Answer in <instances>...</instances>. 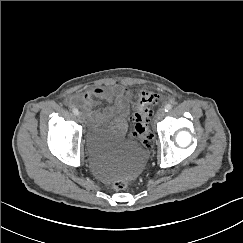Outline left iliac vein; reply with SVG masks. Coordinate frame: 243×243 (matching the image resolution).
<instances>
[{
    "label": "left iliac vein",
    "mask_w": 243,
    "mask_h": 243,
    "mask_svg": "<svg viewBox=\"0 0 243 243\" xmlns=\"http://www.w3.org/2000/svg\"><path fill=\"white\" fill-rule=\"evenodd\" d=\"M165 115V111L164 109H159L156 113L155 119L158 121L160 119H162Z\"/></svg>",
    "instance_id": "left-iliac-vein-1"
}]
</instances>
